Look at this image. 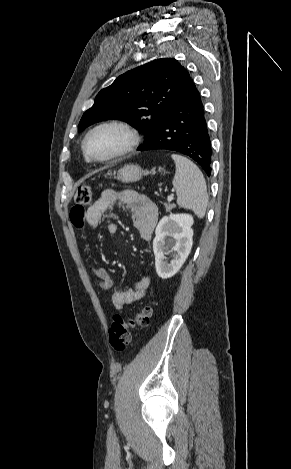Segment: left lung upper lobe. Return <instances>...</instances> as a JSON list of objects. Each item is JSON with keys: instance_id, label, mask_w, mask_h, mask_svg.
I'll list each match as a JSON object with an SVG mask.
<instances>
[{"instance_id": "1", "label": "left lung upper lobe", "mask_w": 291, "mask_h": 469, "mask_svg": "<svg viewBox=\"0 0 291 469\" xmlns=\"http://www.w3.org/2000/svg\"><path fill=\"white\" fill-rule=\"evenodd\" d=\"M190 81L188 71L174 58L127 71L97 94L78 131L99 121L122 120L142 131L146 141Z\"/></svg>"}]
</instances>
